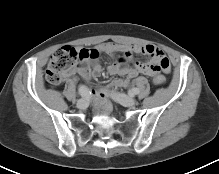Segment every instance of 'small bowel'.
I'll use <instances>...</instances> for the list:
<instances>
[{"instance_id": "1", "label": "small bowel", "mask_w": 219, "mask_h": 174, "mask_svg": "<svg viewBox=\"0 0 219 174\" xmlns=\"http://www.w3.org/2000/svg\"><path fill=\"white\" fill-rule=\"evenodd\" d=\"M95 50L99 56V53L103 52L110 55L114 61L108 67V72L111 75H121L124 78L116 79L111 83L112 88L116 87H126L130 80L137 77L139 74H144L147 76H154L160 70L164 72L170 71V62L166 55L153 45L137 46L128 44H117V43H106L100 45ZM83 53H90L91 50L81 49ZM122 54L120 59H116V54ZM135 54H143L149 56L152 60L151 64H133V59ZM98 56L95 58L87 57L79 65L77 72L79 75L85 79L90 80L93 77H97L101 72V66L97 61ZM88 60L92 63L89 65ZM93 96L96 98H106L105 90L93 91ZM106 111L109 110L108 107L105 108Z\"/></svg>"}]
</instances>
